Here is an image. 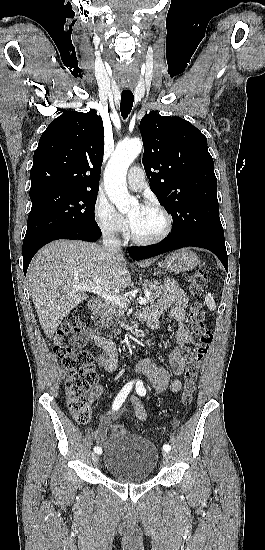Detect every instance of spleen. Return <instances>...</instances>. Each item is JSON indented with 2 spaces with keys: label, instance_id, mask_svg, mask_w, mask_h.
Instances as JSON below:
<instances>
[{
  "label": "spleen",
  "instance_id": "obj_1",
  "mask_svg": "<svg viewBox=\"0 0 265 550\" xmlns=\"http://www.w3.org/2000/svg\"><path fill=\"white\" fill-rule=\"evenodd\" d=\"M205 302L209 310L214 311L216 309V303L211 293L205 296Z\"/></svg>",
  "mask_w": 265,
  "mask_h": 550
}]
</instances>
